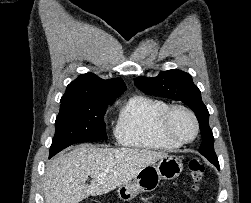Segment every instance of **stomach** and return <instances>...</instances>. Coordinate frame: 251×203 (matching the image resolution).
Returning a JSON list of instances; mask_svg holds the SVG:
<instances>
[{
  "mask_svg": "<svg viewBox=\"0 0 251 203\" xmlns=\"http://www.w3.org/2000/svg\"><path fill=\"white\" fill-rule=\"evenodd\" d=\"M182 170V160L168 155L156 164L143 168L132 181L121 185L117 190L118 196L123 201H130L141 192L155 190L161 179L171 180L178 177Z\"/></svg>",
  "mask_w": 251,
  "mask_h": 203,
  "instance_id": "0dacf381",
  "label": "stomach"
}]
</instances>
